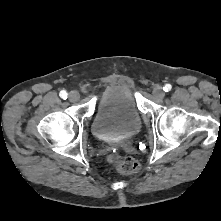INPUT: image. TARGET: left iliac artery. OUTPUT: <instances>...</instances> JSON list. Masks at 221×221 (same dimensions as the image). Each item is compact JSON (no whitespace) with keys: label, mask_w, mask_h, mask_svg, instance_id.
Here are the masks:
<instances>
[{"label":"left iliac artery","mask_w":221,"mask_h":221,"mask_svg":"<svg viewBox=\"0 0 221 221\" xmlns=\"http://www.w3.org/2000/svg\"><path fill=\"white\" fill-rule=\"evenodd\" d=\"M171 88H172V86H171L170 84H166L165 87L163 88V90H164L165 92H168V91L171 90Z\"/></svg>","instance_id":"1"}]
</instances>
